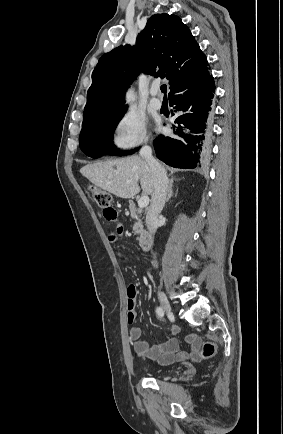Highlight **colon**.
<instances>
[{
    "instance_id": "1",
    "label": "colon",
    "mask_w": 283,
    "mask_h": 434,
    "mask_svg": "<svg viewBox=\"0 0 283 434\" xmlns=\"http://www.w3.org/2000/svg\"><path fill=\"white\" fill-rule=\"evenodd\" d=\"M92 196L94 201L101 208L104 209L110 207L112 198L108 192L98 188H92ZM215 353H216V344L212 341H207L201 346L199 355L201 358L207 359L214 356Z\"/></svg>"
}]
</instances>
